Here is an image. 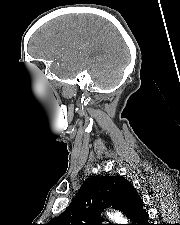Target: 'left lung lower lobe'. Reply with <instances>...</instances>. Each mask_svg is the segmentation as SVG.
Segmentation results:
<instances>
[{"mask_svg":"<svg viewBox=\"0 0 180 225\" xmlns=\"http://www.w3.org/2000/svg\"><path fill=\"white\" fill-rule=\"evenodd\" d=\"M148 213L142 208L135 212L131 217L129 225H151L148 222Z\"/></svg>","mask_w":180,"mask_h":225,"instance_id":"obj_1","label":"left lung lower lobe"}]
</instances>
